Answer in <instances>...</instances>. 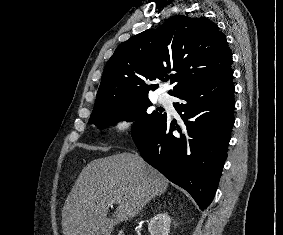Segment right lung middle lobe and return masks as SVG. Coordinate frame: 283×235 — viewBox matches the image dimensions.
I'll list each match as a JSON object with an SVG mask.
<instances>
[{"label": "right lung middle lobe", "mask_w": 283, "mask_h": 235, "mask_svg": "<svg viewBox=\"0 0 283 235\" xmlns=\"http://www.w3.org/2000/svg\"><path fill=\"white\" fill-rule=\"evenodd\" d=\"M151 105L148 96L101 103L94 106L90 122L103 128L119 120L135 121L131 129V135L135 138L156 126L166 116V113L159 109L149 111Z\"/></svg>", "instance_id": "obj_1"}]
</instances>
